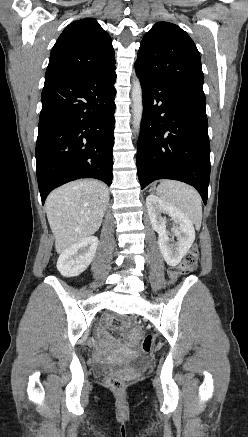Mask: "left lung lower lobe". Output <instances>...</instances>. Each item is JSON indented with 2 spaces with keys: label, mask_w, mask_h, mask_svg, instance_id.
Listing matches in <instances>:
<instances>
[{
  "label": "left lung lower lobe",
  "mask_w": 248,
  "mask_h": 437,
  "mask_svg": "<svg viewBox=\"0 0 248 437\" xmlns=\"http://www.w3.org/2000/svg\"><path fill=\"white\" fill-rule=\"evenodd\" d=\"M143 116L137 168L141 188L157 179L194 186L204 204L210 177V143L205 95L138 72Z\"/></svg>",
  "instance_id": "left-lung-lower-lobe-1"
}]
</instances>
